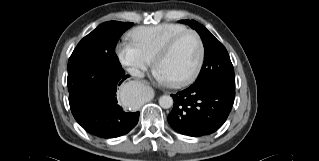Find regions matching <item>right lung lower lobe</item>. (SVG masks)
Masks as SVG:
<instances>
[{"instance_id": "1", "label": "right lung lower lobe", "mask_w": 319, "mask_h": 161, "mask_svg": "<svg viewBox=\"0 0 319 161\" xmlns=\"http://www.w3.org/2000/svg\"><path fill=\"white\" fill-rule=\"evenodd\" d=\"M120 63L80 83L69 94L75 120L90 134L115 138L127 134L139 120V112L124 111L118 104L117 88L128 78Z\"/></svg>"}]
</instances>
